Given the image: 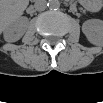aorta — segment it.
<instances>
[{
	"mask_svg": "<svg viewBox=\"0 0 103 103\" xmlns=\"http://www.w3.org/2000/svg\"><path fill=\"white\" fill-rule=\"evenodd\" d=\"M47 6L50 9H58L60 7V2L58 0H49Z\"/></svg>",
	"mask_w": 103,
	"mask_h": 103,
	"instance_id": "aorta-1",
	"label": "aorta"
}]
</instances>
